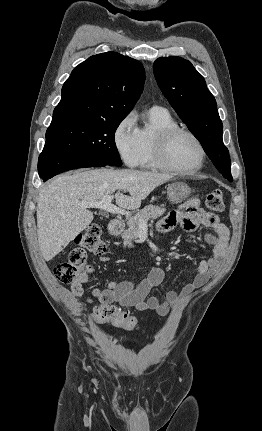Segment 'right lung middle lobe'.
<instances>
[{
  "label": "right lung middle lobe",
  "mask_w": 262,
  "mask_h": 431,
  "mask_svg": "<svg viewBox=\"0 0 262 431\" xmlns=\"http://www.w3.org/2000/svg\"><path fill=\"white\" fill-rule=\"evenodd\" d=\"M123 119H82L50 125L42 153L75 155L121 166L114 134Z\"/></svg>",
  "instance_id": "dd1d6c3e"
}]
</instances>
